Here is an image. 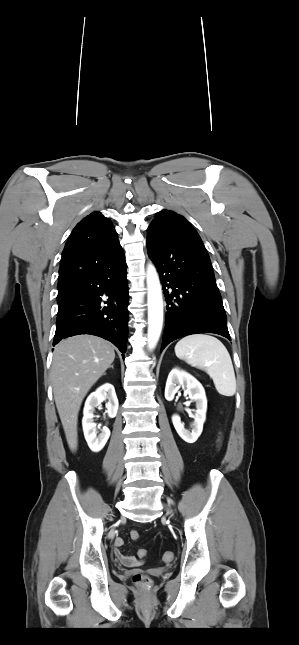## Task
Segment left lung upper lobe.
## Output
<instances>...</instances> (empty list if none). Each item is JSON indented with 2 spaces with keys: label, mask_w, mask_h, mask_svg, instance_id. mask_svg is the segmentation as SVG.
Here are the masks:
<instances>
[{
  "label": "left lung upper lobe",
  "mask_w": 299,
  "mask_h": 645,
  "mask_svg": "<svg viewBox=\"0 0 299 645\" xmlns=\"http://www.w3.org/2000/svg\"><path fill=\"white\" fill-rule=\"evenodd\" d=\"M168 224H184L191 226L184 217L170 210H162L156 214L148 229L165 227Z\"/></svg>",
  "instance_id": "1"
}]
</instances>
